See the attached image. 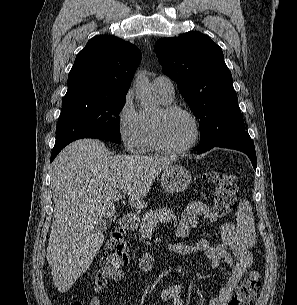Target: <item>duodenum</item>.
I'll use <instances>...</instances> for the list:
<instances>
[{
  "instance_id": "duodenum-1",
  "label": "duodenum",
  "mask_w": 297,
  "mask_h": 305,
  "mask_svg": "<svg viewBox=\"0 0 297 305\" xmlns=\"http://www.w3.org/2000/svg\"><path fill=\"white\" fill-rule=\"evenodd\" d=\"M119 224L124 230H133L136 227V220L133 215L125 214L119 219Z\"/></svg>"
}]
</instances>
